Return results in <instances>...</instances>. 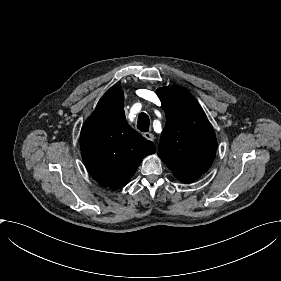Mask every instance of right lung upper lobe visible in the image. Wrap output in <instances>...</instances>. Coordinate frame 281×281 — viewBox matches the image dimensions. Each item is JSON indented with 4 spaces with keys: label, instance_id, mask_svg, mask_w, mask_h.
Listing matches in <instances>:
<instances>
[{
    "label": "right lung upper lobe",
    "instance_id": "cb5924a9",
    "mask_svg": "<svg viewBox=\"0 0 281 281\" xmlns=\"http://www.w3.org/2000/svg\"><path fill=\"white\" fill-rule=\"evenodd\" d=\"M80 148L88 172L111 189L124 187L143 158L155 153L154 144L126 122L124 94L118 85L104 94L85 121Z\"/></svg>",
    "mask_w": 281,
    "mask_h": 281
}]
</instances>
